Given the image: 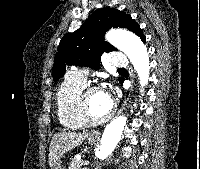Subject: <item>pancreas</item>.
Listing matches in <instances>:
<instances>
[{"mask_svg": "<svg viewBox=\"0 0 200 169\" xmlns=\"http://www.w3.org/2000/svg\"><path fill=\"white\" fill-rule=\"evenodd\" d=\"M83 161L73 158L68 169H86L82 167Z\"/></svg>", "mask_w": 200, "mask_h": 169, "instance_id": "cf45deb5", "label": "pancreas"}]
</instances>
